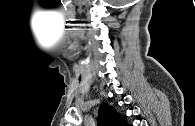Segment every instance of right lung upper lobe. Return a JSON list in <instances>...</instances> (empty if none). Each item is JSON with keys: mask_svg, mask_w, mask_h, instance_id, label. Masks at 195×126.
Returning <instances> with one entry per match:
<instances>
[{"mask_svg": "<svg viewBox=\"0 0 195 126\" xmlns=\"http://www.w3.org/2000/svg\"><path fill=\"white\" fill-rule=\"evenodd\" d=\"M97 121L99 126H128L126 116H122L106 103L100 106Z\"/></svg>", "mask_w": 195, "mask_h": 126, "instance_id": "1", "label": "right lung upper lobe"}]
</instances>
